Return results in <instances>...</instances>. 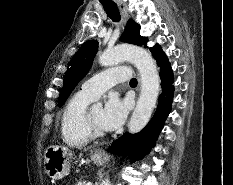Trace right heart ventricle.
<instances>
[{"label":"right heart ventricle","instance_id":"right-heart-ventricle-1","mask_svg":"<svg viewBox=\"0 0 233 185\" xmlns=\"http://www.w3.org/2000/svg\"><path fill=\"white\" fill-rule=\"evenodd\" d=\"M91 101V98L77 92L64 107L60 124L61 136L70 147H83L91 140L85 125V114Z\"/></svg>","mask_w":233,"mask_h":185}]
</instances>
